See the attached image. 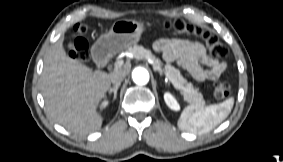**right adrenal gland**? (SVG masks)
Segmentation results:
<instances>
[{
	"mask_svg": "<svg viewBox=\"0 0 283 162\" xmlns=\"http://www.w3.org/2000/svg\"><path fill=\"white\" fill-rule=\"evenodd\" d=\"M119 86H120V84L115 85L113 88L109 89V95H111L113 93V99L112 100L116 99V97H117V90H118Z\"/></svg>",
	"mask_w": 283,
	"mask_h": 162,
	"instance_id": "obj_1",
	"label": "right adrenal gland"
}]
</instances>
